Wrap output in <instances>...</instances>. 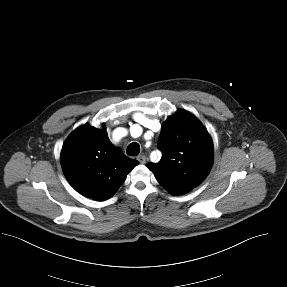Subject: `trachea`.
Masks as SVG:
<instances>
[{
	"label": "trachea",
	"instance_id": "3493384b",
	"mask_svg": "<svg viewBox=\"0 0 287 287\" xmlns=\"http://www.w3.org/2000/svg\"><path fill=\"white\" fill-rule=\"evenodd\" d=\"M126 152L129 156H137L140 152V145L136 142L130 143Z\"/></svg>",
	"mask_w": 287,
	"mask_h": 287
}]
</instances>
